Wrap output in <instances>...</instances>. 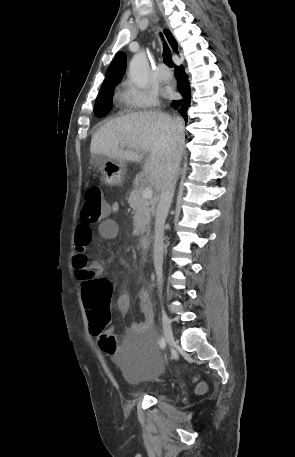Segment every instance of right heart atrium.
Returning a JSON list of instances; mask_svg holds the SVG:
<instances>
[{"instance_id":"obj_1","label":"right heart atrium","mask_w":295,"mask_h":457,"mask_svg":"<svg viewBox=\"0 0 295 457\" xmlns=\"http://www.w3.org/2000/svg\"><path fill=\"white\" fill-rule=\"evenodd\" d=\"M122 99L125 105L133 110L153 108L158 104L156 91L141 89L129 82L124 84Z\"/></svg>"}]
</instances>
